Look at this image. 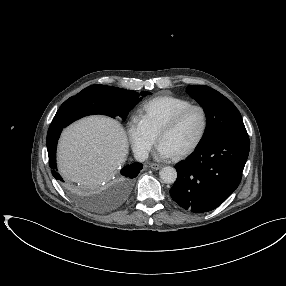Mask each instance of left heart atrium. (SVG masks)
<instances>
[{"mask_svg": "<svg viewBox=\"0 0 286 286\" xmlns=\"http://www.w3.org/2000/svg\"><path fill=\"white\" fill-rule=\"evenodd\" d=\"M157 153L160 157L163 158H168L174 155V153L162 143H159Z\"/></svg>", "mask_w": 286, "mask_h": 286, "instance_id": "39dd6f15", "label": "left heart atrium"}]
</instances>
